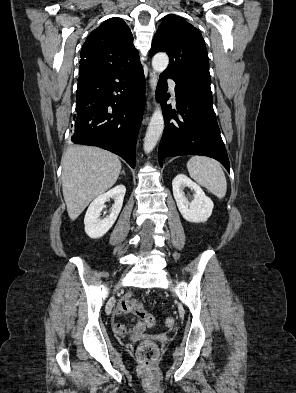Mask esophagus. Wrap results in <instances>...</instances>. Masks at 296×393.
<instances>
[{
	"instance_id": "obj_1",
	"label": "esophagus",
	"mask_w": 296,
	"mask_h": 393,
	"mask_svg": "<svg viewBox=\"0 0 296 393\" xmlns=\"http://www.w3.org/2000/svg\"><path fill=\"white\" fill-rule=\"evenodd\" d=\"M157 80H158L157 74L154 71H150V75H149L150 98L149 99H152L154 96V92L157 87ZM147 109L148 110L152 109V102L150 100L147 103Z\"/></svg>"
}]
</instances>
